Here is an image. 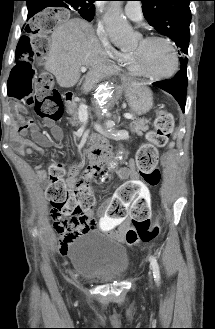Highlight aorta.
I'll return each instance as SVG.
<instances>
[{
    "mask_svg": "<svg viewBox=\"0 0 215 329\" xmlns=\"http://www.w3.org/2000/svg\"><path fill=\"white\" fill-rule=\"evenodd\" d=\"M106 31L112 42L122 48H127L134 43V33L129 23L123 18L121 13V2L112 1L110 8L104 18ZM111 98L108 89H102L95 99L96 105L100 109H104ZM105 127L108 132L113 133V123L109 120L105 121ZM122 152L117 153L116 158H121Z\"/></svg>",
    "mask_w": 215,
    "mask_h": 329,
    "instance_id": "aorta-1",
    "label": "aorta"
}]
</instances>
